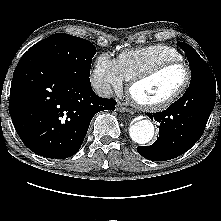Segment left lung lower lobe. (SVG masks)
Here are the masks:
<instances>
[{
    "label": "left lung lower lobe",
    "mask_w": 221,
    "mask_h": 221,
    "mask_svg": "<svg viewBox=\"0 0 221 221\" xmlns=\"http://www.w3.org/2000/svg\"><path fill=\"white\" fill-rule=\"evenodd\" d=\"M218 89L221 95L220 79L205 80L189 86L184 95L165 111L147 113L160 123L159 137L148 147L138 146V153L149 160L165 161L188 151L204 132Z\"/></svg>",
    "instance_id": "0a47b994"
}]
</instances>
